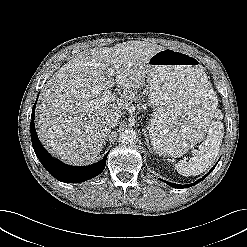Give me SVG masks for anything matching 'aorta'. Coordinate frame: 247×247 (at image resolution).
Masks as SVG:
<instances>
[{"mask_svg": "<svg viewBox=\"0 0 247 247\" xmlns=\"http://www.w3.org/2000/svg\"><path fill=\"white\" fill-rule=\"evenodd\" d=\"M136 139V132L133 130H125L123 132L120 133V138L119 140L123 143V144H130L133 143Z\"/></svg>", "mask_w": 247, "mask_h": 247, "instance_id": "obj_1", "label": "aorta"}]
</instances>
